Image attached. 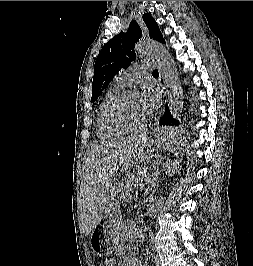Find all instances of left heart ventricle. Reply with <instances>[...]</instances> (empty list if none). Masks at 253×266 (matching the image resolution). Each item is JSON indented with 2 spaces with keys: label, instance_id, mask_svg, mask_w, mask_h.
Instances as JSON below:
<instances>
[{
  "label": "left heart ventricle",
  "instance_id": "b2bd125f",
  "mask_svg": "<svg viewBox=\"0 0 253 266\" xmlns=\"http://www.w3.org/2000/svg\"><path fill=\"white\" fill-rule=\"evenodd\" d=\"M116 118L127 126H135L147 118L140 95H130L117 107Z\"/></svg>",
  "mask_w": 253,
  "mask_h": 266
}]
</instances>
